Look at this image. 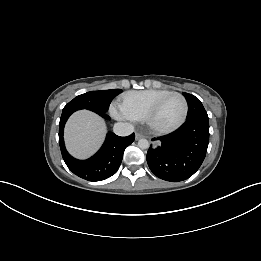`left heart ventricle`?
<instances>
[{
  "label": "left heart ventricle",
  "mask_w": 261,
  "mask_h": 261,
  "mask_svg": "<svg viewBox=\"0 0 261 261\" xmlns=\"http://www.w3.org/2000/svg\"><path fill=\"white\" fill-rule=\"evenodd\" d=\"M183 113V102L177 96L167 98L153 117L152 123L158 128H168L175 125Z\"/></svg>",
  "instance_id": "obj_1"
}]
</instances>
